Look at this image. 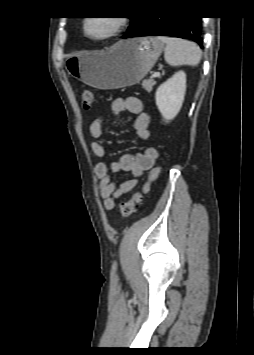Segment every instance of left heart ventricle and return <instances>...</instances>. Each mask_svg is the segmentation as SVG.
<instances>
[{
  "label": "left heart ventricle",
  "mask_w": 254,
  "mask_h": 355,
  "mask_svg": "<svg viewBox=\"0 0 254 355\" xmlns=\"http://www.w3.org/2000/svg\"><path fill=\"white\" fill-rule=\"evenodd\" d=\"M113 27L112 22L107 18H94L89 21L87 31L92 36H102L108 33Z\"/></svg>",
  "instance_id": "1"
}]
</instances>
